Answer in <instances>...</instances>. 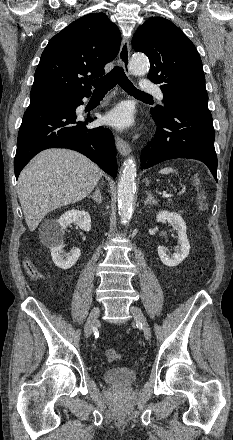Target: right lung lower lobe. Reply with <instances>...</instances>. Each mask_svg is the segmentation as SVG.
I'll use <instances>...</instances> for the list:
<instances>
[{
    "label": "right lung lower lobe",
    "mask_w": 233,
    "mask_h": 440,
    "mask_svg": "<svg viewBox=\"0 0 233 440\" xmlns=\"http://www.w3.org/2000/svg\"><path fill=\"white\" fill-rule=\"evenodd\" d=\"M85 95L30 103L19 129L14 159L15 176L40 151L47 148L76 150L116 177V149L112 132L103 127L88 129L93 118L75 113Z\"/></svg>",
    "instance_id": "obj_1"
}]
</instances>
